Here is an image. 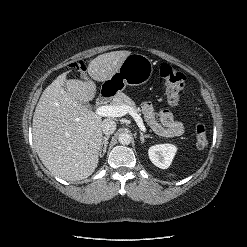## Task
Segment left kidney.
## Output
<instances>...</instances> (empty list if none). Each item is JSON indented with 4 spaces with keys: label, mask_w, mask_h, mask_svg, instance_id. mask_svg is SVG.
<instances>
[{
    "label": "left kidney",
    "mask_w": 247,
    "mask_h": 247,
    "mask_svg": "<svg viewBox=\"0 0 247 247\" xmlns=\"http://www.w3.org/2000/svg\"><path fill=\"white\" fill-rule=\"evenodd\" d=\"M177 148L172 144H159L151 146L148 155L151 162L161 169H167L176 154Z\"/></svg>",
    "instance_id": "5707ae66"
}]
</instances>
